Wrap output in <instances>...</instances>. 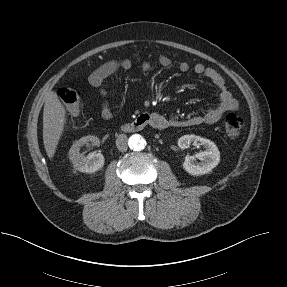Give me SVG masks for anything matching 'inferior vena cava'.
<instances>
[{
  "label": "inferior vena cava",
  "instance_id": "602c4592",
  "mask_svg": "<svg viewBox=\"0 0 287 287\" xmlns=\"http://www.w3.org/2000/svg\"><path fill=\"white\" fill-rule=\"evenodd\" d=\"M128 138L125 134H120L116 139V146L119 151L125 152L128 149L127 145Z\"/></svg>",
  "mask_w": 287,
  "mask_h": 287
}]
</instances>
